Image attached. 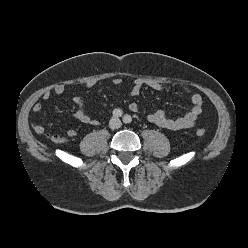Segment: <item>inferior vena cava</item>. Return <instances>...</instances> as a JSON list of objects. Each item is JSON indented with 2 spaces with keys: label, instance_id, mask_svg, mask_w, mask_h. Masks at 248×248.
<instances>
[{
  "label": "inferior vena cava",
  "instance_id": "inferior-vena-cava-1",
  "mask_svg": "<svg viewBox=\"0 0 248 248\" xmlns=\"http://www.w3.org/2000/svg\"><path fill=\"white\" fill-rule=\"evenodd\" d=\"M116 122H117L116 125H111V128H112V129L119 128V127L121 126L120 120L117 119Z\"/></svg>",
  "mask_w": 248,
  "mask_h": 248
}]
</instances>
